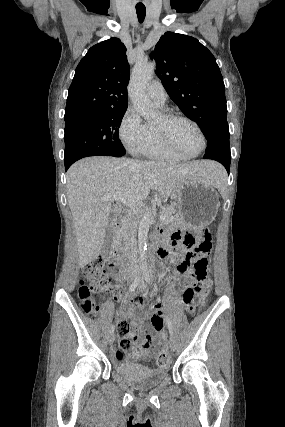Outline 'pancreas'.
<instances>
[{
    "label": "pancreas",
    "instance_id": "obj_1",
    "mask_svg": "<svg viewBox=\"0 0 285 427\" xmlns=\"http://www.w3.org/2000/svg\"><path fill=\"white\" fill-rule=\"evenodd\" d=\"M161 214H165L167 216L164 221L166 224H171L175 226L181 224V220L179 219L178 211L175 206L171 205L166 208H163Z\"/></svg>",
    "mask_w": 285,
    "mask_h": 427
}]
</instances>
